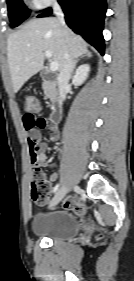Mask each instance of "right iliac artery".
Wrapping results in <instances>:
<instances>
[{
  "mask_svg": "<svg viewBox=\"0 0 134 281\" xmlns=\"http://www.w3.org/2000/svg\"><path fill=\"white\" fill-rule=\"evenodd\" d=\"M59 188V184H57L54 188H53V193H55Z\"/></svg>",
  "mask_w": 134,
  "mask_h": 281,
  "instance_id": "82829eb1",
  "label": "right iliac artery"
}]
</instances>
